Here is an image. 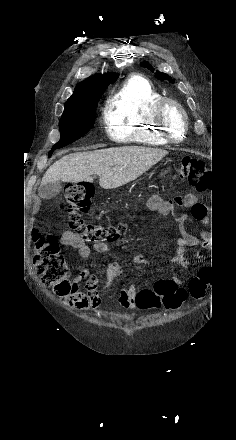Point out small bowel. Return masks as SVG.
Instances as JSON below:
<instances>
[{
    "label": "small bowel",
    "instance_id": "c3829d8e",
    "mask_svg": "<svg viewBox=\"0 0 236 440\" xmlns=\"http://www.w3.org/2000/svg\"><path fill=\"white\" fill-rule=\"evenodd\" d=\"M146 206L159 217H166L173 214L176 207L190 208L193 218L203 222L205 221L204 208L201 204H198L196 196L193 194L176 196L170 200H164L158 195H153L147 200ZM186 219L187 216L185 214L177 215L180 237L176 240V249L168 263L161 266L159 271H165L172 267L187 268L189 266V261L185 257V252L188 248L196 247L198 245V238L185 231L184 222ZM59 243L62 246L76 249L83 259L90 258L91 248L71 231H64L60 235ZM93 249L99 254H106L108 252V246L105 243H96L94 244ZM136 260L141 264L146 263V260L142 257H138ZM121 275L122 269L120 265L116 262H111L107 266L105 273L106 280L101 288L107 290L115 285L120 303L125 308L134 309L138 307L137 299L141 291L137 293L134 287H125L121 280ZM99 283L100 278L98 275L82 271L79 274L77 281L74 283L72 291L65 296L63 300L77 310H96L101 305ZM160 307L162 306L155 305L151 306L150 309H157Z\"/></svg>",
    "mask_w": 236,
    "mask_h": 440
}]
</instances>
